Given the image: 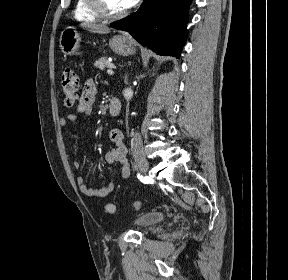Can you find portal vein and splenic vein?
Returning a JSON list of instances; mask_svg holds the SVG:
<instances>
[{
  "label": "portal vein and splenic vein",
  "instance_id": "obj_1",
  "mask_svg": "<svg viewBox=\"0 0 288 280\" xmlns=\"http://www.w3.org/2000/svg\"><path fill=\"white\" fill-rule=\"evenodd\" d=\"M114 68H115V66H111V67L107 70V74L113 75V74H114V71H113Z\"/></svg>",
  "mask_w": 288,
  "mask_h": 280
}]
</instances>
